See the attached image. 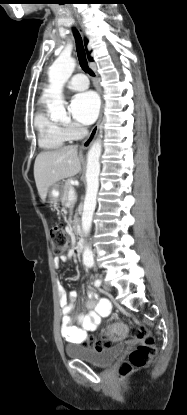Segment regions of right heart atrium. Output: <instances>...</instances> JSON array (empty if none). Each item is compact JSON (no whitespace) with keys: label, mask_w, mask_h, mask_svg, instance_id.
I'll return each mask as SVG.
<instances>
[{"label":"right heart atrium","mask_w":187,"mask_h":415,"mask_svg":"<svg viewBox=\"0 0 187 415\" xmlns=\"http://www.w3.org/2000/svg\"><path fill=\"white\" fill-rule=\"evenodd\" d=\"M69 139H76L82 133V129L79 125L75 123H67L63 126Z\"/></svg>","instance_id":"obj_1"}]
</instances>
